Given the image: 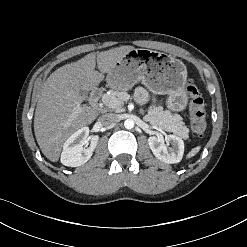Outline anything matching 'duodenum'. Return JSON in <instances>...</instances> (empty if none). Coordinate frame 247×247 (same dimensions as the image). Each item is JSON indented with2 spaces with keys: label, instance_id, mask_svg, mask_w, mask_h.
<instances>
[{
  "label": "duodenum",
  "instance_id": "1",
  "mask_svg": "<svg viewBox=\"0 0 247 247\" xmlns=\"http://www.w3.org/2000/svg\"><path fill=\"white\" fill-rule=\"evenodd\" d=\"M101 94H102V91H101L100 89L94 90V91L92 92V95H91L92 100H93V101H97V100L100 98Z\"/></svg>",
  "mask_w": 247,
  "mask_h": 247
}]
</instances>
